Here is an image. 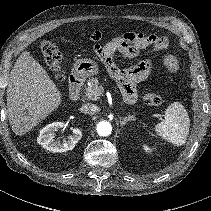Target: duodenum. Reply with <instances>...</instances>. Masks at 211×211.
<instances>
[{
    "instance_id": "1",
    "label": "duodenum",
    "mask_w": 211,
    "mask_h": 211,
    "mask_svg": "<svg viewBox=\"0 0 211 211\" xmlns=\"http://www.w3.org/2000/svg\"><path fill=\"white\" fill-rule=\"evenodd\" d=\"M69 80V97L72 101H77L81 95L83 79L78 73H72Z\"/></svg>"
}]
</instances>
